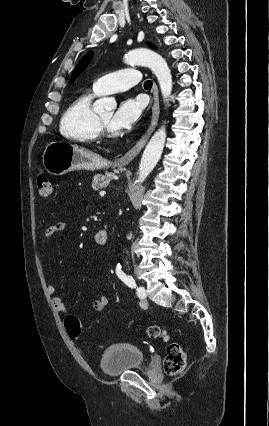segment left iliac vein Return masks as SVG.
<instances>
[{
    "mask_svg": "<svg viewBox=\"0 0 269 426\" xmlns=\"http://www.w3.org/2000/svg\"><path fill=\"white\" fill-rule=\"evenodd\" d=\"M140 306H141L143 309H146V308L148 307V301H147L146 299H143V300L140 302Z\"/></svg>",
    "mask_w": 269,
    "mask_h": 426,
    "instance_id": "1",
    "label": "left iliac vein"
}]
</instances>
